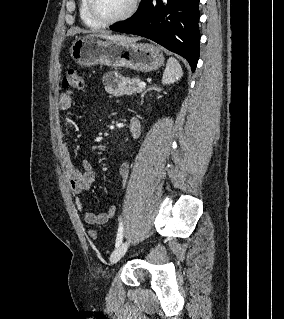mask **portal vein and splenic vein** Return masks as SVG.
<instances>
[{"label":"portal vein and splenic vein","mask_w":284,"mask_h":319,"mask_svg":"<svg viewBox=\"0 0 284 319\" xmlns=\"http://www.w3.org/2000/svg\"><path fill=\"white\" fill-rule=\"evenodd\" d=\"M137 86L140 87V88H145L146 87V83L141 81V82H138Z\"/></svg>","instance_id":"18ae733b"}]
</instances>
